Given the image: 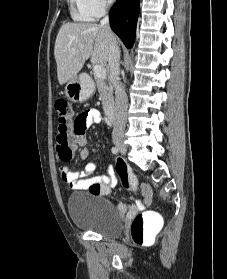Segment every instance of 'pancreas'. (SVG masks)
<instances>
[{"label": "pancreas", "mask_w": 227, "mask_h": 279, "mask_svg": "<svg viewBox=\"0 0 227 279\" xmlns=\"http://www.w3.org/2000/svg\"><path fill=\"white\" fill-rule=\"evenodd\" d=\"M94 79L96 82L98 92L101 96L103 107L104 109H107L114 103L112 85L108 80L98 78L95 75Z\"/></svg>", "instance_id": "cf45deb5"}]
</instances>
